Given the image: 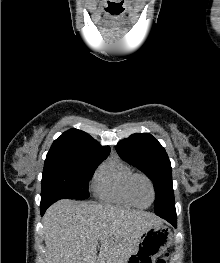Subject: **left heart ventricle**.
Segmentation results:
<instances>
[{
	"label": "left heart ventricle",
	"instance_id": "obj_1",
	"mask_svg": "<svg viewBox=\"0 0 220 263\" xmlns=\"http://www.w3.org/2000/svg\"><path fill=\"white\" fill-rule=\"evenodd\" d=\"M134 194L136 201L140 205H147L150 203L152 194L149 185L143 179H138L134 185Z\"/></svg>",
	"mask_w": 220,
	"mask_h": 263
}]
</instances>
